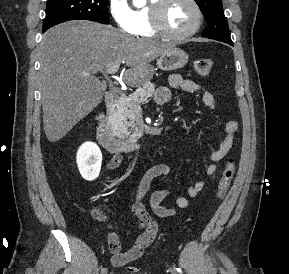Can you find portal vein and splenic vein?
<instances>
[{
    "label": "portal vein and splenic vein",
    "mask_w": 289,
    "mask_h": 274,
    "mask_svg": "<svg viewBox=\"0 0 289 274\" xmlns=\"http://www.w3.org/2000/svg\"><path fill=\"white\" fill-rule=\"evenodd\" d=\"M119 66H120L119 64H113V65H111L110 67H108V68L106 69V73H107V74H115V73L118 71ZM115 89H116L117 92L121 93V92L118 90V88H115Z\"/></svg>",
    "instance_id": "obj_1"
}]
</instances>
